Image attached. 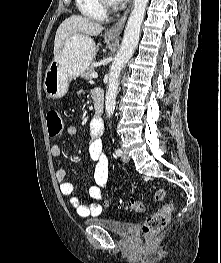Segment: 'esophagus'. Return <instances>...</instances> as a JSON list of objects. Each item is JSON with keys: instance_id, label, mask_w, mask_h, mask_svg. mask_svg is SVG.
<instances>
[{"instance_id": "esophagus-1", "label": "esophagus", "mask_w": 221, "mask_h": 263, "mask_svg": "<svg viewBox=\"0 0 221 263\" xmlns=\"http://www.w3.org/2000/svg\"><path fill=\"white\" fill-rule=\"evenodd\" d=\"M130 8H131V4L130 6L126 9V11L123 13V15L121 16V18L112 26L110 27L107 31H106V35L110 38H119L125 22L127 20L128 14L130 12Z\"/></svg>"}]
</instances>
